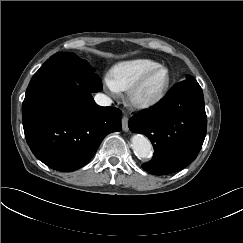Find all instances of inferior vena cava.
Here are the masks:
<instances>
[{
    "label": "inferior vena cava",
    "mask_w": 243,
    "mask_h": 243,
    "mask_svg": "<svg viewBox=\"0 0 243 243\" xmlns=\"http://www.w3.org/2000/svg\"><path fill=\"white\" fill-rule=\"evenodd\" d=\"M94 99L100 106H110L112 104L111 98L102 93L96 94Z\"/></svg>",
    "instance_id": "602c4592"
}]
</instances>
